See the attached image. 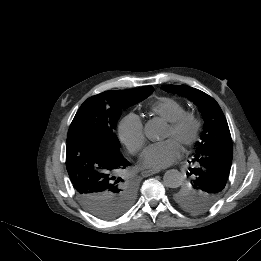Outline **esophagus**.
Masks as SVG:
<instances>
[{"label": "esophagus", "mask_w": 261, "mask_h": 261, "mask_svg": "<svg viewBox=\"0 0 261 261\" xmlns=\"http://www.w3.org/2000/svg\"><path fill=\"white\" fill-rule=\"evenodd\" d=\"M159 172H160V170L153 169V170H145V171H142L141 174H142L143 177H148V176L157 174V173H159Z\"/></svg>", "instance_id": "esophagus-1"}]
</instances>
